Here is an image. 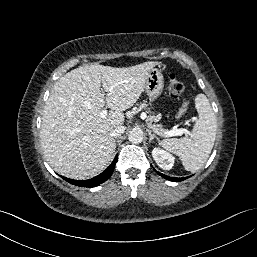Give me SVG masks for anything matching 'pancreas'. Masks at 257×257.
<instances>
[{
  "instance_id": "pancreas-1",
  "label": "pancreas",
  "mask_w": 257,
  "mask_h": 257,
  "mask_svg": "<svg viewBox=\"0 0 257 257\" xmlns=\"http://www.w3.org/2000/svg\"><path fill=\"white\" fill-rule=\"evenodd\" d=\"M146 107H147V105L144 104V103L140 105V109H146ZM147 110H148V109H147ZM148 112H150V111H148ZM157 120H159V117H158V116L149 115V116L147 117V119H146V123H147L148 127H149L150 129H152L153 132L159 134L160 136L167 137V136L165 135V132H166L167 130L163 129L161 125H159V124H154V123H153V122H155V121H157Z\"/></svg>"
}]
</instances>
